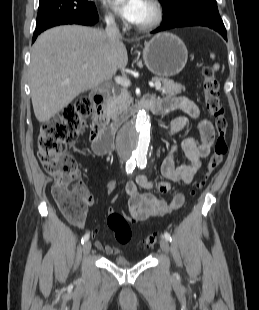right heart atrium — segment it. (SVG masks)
I'll use <instances>...</instances> for the list:
<instances>
[{"instance_id": "1", "label": "right heart atrium", "mask_w": 259, "mask_h": 310, "mask_svg": "<svg viewBox=\"0 0 259 310\" xmlns=\"http://www.w3.org/2000/svg\"><path fill=\"white\" fill-rule=\"evenodd\" d=\"M104 18L108 25L114 26L116 24V19L112 14L105 12Z\"/></svg>"}]
</instances>
